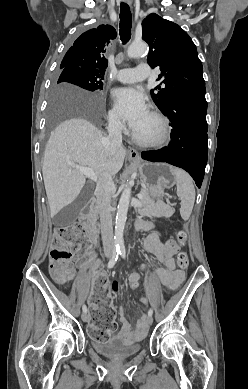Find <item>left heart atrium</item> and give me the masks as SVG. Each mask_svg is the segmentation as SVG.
I'll return each instance as SVG.
<instances>
[{"mask_svg":"<svg viewBox=\"0 0 248 389\" xmlns=\"http://www.w3.org/2000/svg\"><path fill=\"white\" fill-rule=\"evenodd\" d=\"M112 96L118 113L132 130L137 128L149 113L145 96L136 88H118L113 91Z\"/></svg>","mask_w":248,"mask_h":389,"instance_id":"1","label":"left heart atrium"}]
</instances>
